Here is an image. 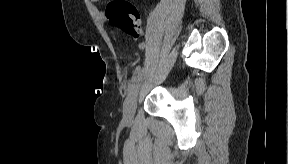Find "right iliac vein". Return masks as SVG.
I'll return each instance as SVG.
<instances>
[{"instance_id":"right-iliac-vein-1","label":"right iliac vein","mask_w":288,"mask_h":164,"mask_svg":"<svg viewBox=\"0 0 288 164\" xmlns=\"http://www.w3.org/2000/svg\"><path fill=\"white\" fill-rule=\"evenodd\" d=\"M146 71L142 69L136 79V82L134 83L130 93L128 94V97L124 104V119L126 121H131L133 119L135 109H136V100L138 96V92L141 86V83L145 77Z\"/></svg>"}]
</instances>
